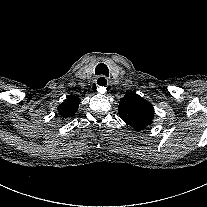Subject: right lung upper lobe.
Masks as SVG:
<instances>
[{
	"mask_svg": "<svg viewBox=\"0 0 207 207\" xmlns=\"http://www.w3.org/2000/svg\"><path fill=\"white\" fill-rule=\"evenodd\" d=\"M79 103L80 99L77 97L67 98L57 108L59 115L63 118L73 117L78 110Z\"/></svg>",
	"mask_w": 207,
	"mask_h": 207,
	"instance_id": "obj_1",
	"label": "right lung upper lobe"
}]
</instances>
